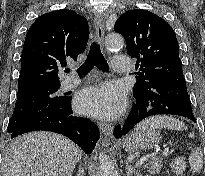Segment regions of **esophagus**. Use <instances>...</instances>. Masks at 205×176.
Returning <instances> with one entry per match:
<instances>
[{
  "instance_id": "obj_1",
  "label": "esophagus",
  "mask_w": 205,
  "mask_h": 176,
  "mask_svg": "<svg viewBox=\"0 0 205 176\" xmlns=\"http://www.w3.org/2000/svg\"><path fill=\"white\" fill-rule=\"evenodd\" d=\"M105 14H98L94 19V27H95V37L99 44H103L104 34H105ZM98 127L103 135L111 136L113 132V126L111 124H106L99 122Z\"/></svg>"
}]
</instances>
